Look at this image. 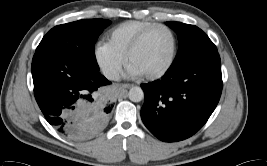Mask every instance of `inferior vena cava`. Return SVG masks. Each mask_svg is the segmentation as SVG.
I'll list each match as a JSON object with an SVG mask.
<instances>
[{
	"instance_id": "inferior-vena-cava-1",
	"label": "inferior vena cava",
	"mask_w": 267,
	"mask_h": 166,
	"mask_svg": "<svg viewBox=\"0 0 267 166\" xmlns=\"http://www.w3.org/2000/svg\"><path fill=\"white\" fill-rule=\"evenodd\" d=\"M106 76L108 79H111V80H118L119 79V74L115 70L108 71L106 73Z\"/></svg>"
}]
</instances>
